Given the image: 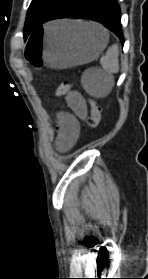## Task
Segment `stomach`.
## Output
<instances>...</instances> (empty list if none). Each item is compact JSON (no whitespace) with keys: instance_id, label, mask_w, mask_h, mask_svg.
Masks as SVG:
<instances>
[{"instance_id":"obj_1","label":"stomach","mask_w":148,"mask_h":279,"mask_svg":"<svg viewBox=\"0 0 148 279\" xmlns=\"http://www.w3.org/2000/svg\"><path fill=\"white\" fill-rule=\"evenodd\" d=\"M94 28L84 23L59 21L39 24L44 34H29L33 39L26 44L25 58L28 72H45V69H73L98 58L106 47L109 35L99 25ZM50 29H57L51 31ZM37 49V50H35Z\"/></svg>"}]
</instances>
